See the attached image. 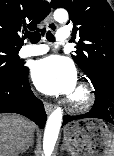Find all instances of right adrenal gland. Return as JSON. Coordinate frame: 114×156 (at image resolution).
<instances>
[{
  "instance_id": "right-adrenal-gland-1",
  "label": "right adrenal gland",
  "mask_w": 114,
  "mask_h": 156,
  "mask_svg": "<svg viewBox=\"0 0 114 156\" xmlns=\"http://www.w3.org/2000/svg\"><path fill=\"white\" fill-rule=\"evenodd\" d=\"M29 147H33V138L32 140L30 141V143L25 147V149L23 150L24 151H27L29 149Z\"/></svg>"
}]
</instances>
